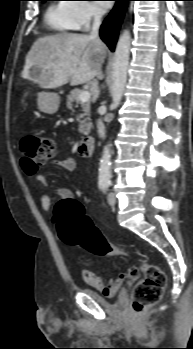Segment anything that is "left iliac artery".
<instances>
[{
	"mask_svg": "<svg viewBox=\"0 0 193 349\" xmlns=\"http://www.w3.org/2000/svg\"><path fill=\"white\" fill-rule=\"evenodd\" d=\"M108 186H109L108 184L105 186V190L108 188Z\"/></svg>",
	"mask_w": 193,
	"mask_h": 349,
	"instance_id": "44dca946",
	"label": "left iliac artery"
}]
</instances>
